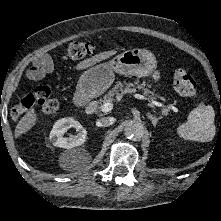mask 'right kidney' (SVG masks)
<instances>
[{
	"instance_id": "obj_1",
	"label": "right kidney",
	"mask_w": 221,
	"mask_h": 221,
	"mask_svg": "<svg viewBox=\"0 0 221 221\" xmlns=\"http://www.w3.org/2000/svg\"><path fill=\"white\" fill-rule=\"evenodd\" d=\"M75 128L78 132L76 135L63 137L69 128ZM87 132L82 125L73 118H63L58 120L50 132L49 139L56 147L71 149L82 145L86 140Z\"/></svg>"
}]
</instances>
